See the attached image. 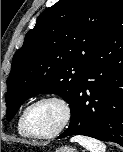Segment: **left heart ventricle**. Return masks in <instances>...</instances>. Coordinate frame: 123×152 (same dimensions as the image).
Returning a JSON list of instances; mask_svg holds the SVG:
<instances>
[{"label": "left heart ventricle", "instance_id": "b2bd125f", "mask_svg": "<svg viewBox=\"0 0 123 152\" xmlns=\"http://www.w3.org/2000/svg\"><path fill=\"white\" fill-rule=\"evenodd\" d=\"M63 117V109L58 103L45 101L30 110L28 125L37 134H47L59 127Z\"/></svg>", "mask_w": 123, "mask_h": 152}]
</instances>
